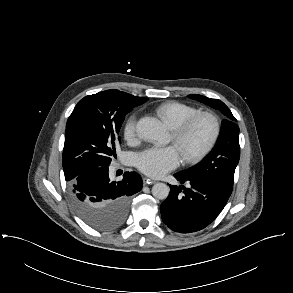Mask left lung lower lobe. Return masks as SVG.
Wrapping results in <instances>:
<instances>
[{"label": "left lung lower lobe", "instance_id": "1", "mask_svg": "<svg viewBox=\"0 0 293 293\" xmlns=\"http://www.w3.org/2000/svg\"><path fill=\"white\" fill-rule=\"evenodd\" d=\"M174 177L181 184H190L189 188L170 185V193L160 207L163 222L175 232L192 233L208 226L223 210L232 193V188L211 179L181 172Z\"/></svg>", "mask_w": 293, "mask_h": 293}]
</instances>
